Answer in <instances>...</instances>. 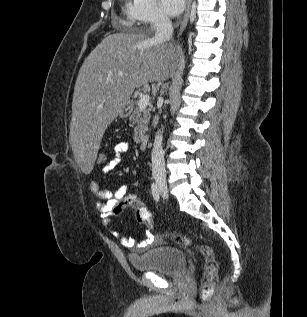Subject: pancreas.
<instances>
[{
  "label": "pancreas",
  "mask_w": 307,
  "mask_h": 317,
  "mask_svg": "<svg viewBox=\"0 0 307 317\" xmlns=\"http://www.w3.org/2000/svg\"><path fill=\"white\" fill-rule=\"evenodd\" d=\"M129 120L136 124L134 128V142L140 143L145 140V133L148 129V123L150 120V109L145 108L140 110L138 106L133 108L132 115Z\"/></svg>",
  "instance_id": "1"
}]
</instances>
